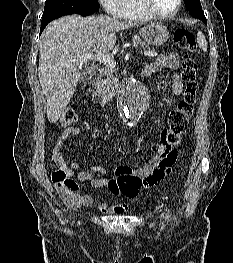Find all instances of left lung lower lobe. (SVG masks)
I'll use <instances>...</instances> for the list:
<instances>
[{"mask_svg":"<svg viewBox=\"0 0 233 263\" xmlns=\"http://www.w3.org/2000/svg\"><path fill=\"white\" fill-rule=\"evenodd\" d=\"M203 22L205 23V24H207V22H206V18L204 17V19H203Z\"/></svg>","mask_w":233,"mask_h":263,"instance_id":"1","label":"left lung lower lobe"}]
</instances>
